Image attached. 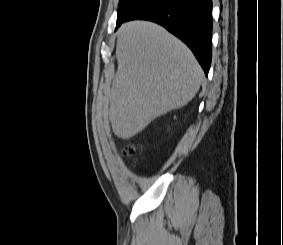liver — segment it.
I'll list each match as a JSON object with an SVG mask.
<instances>
[{"instance_id": "liver-1", "label": "liver", "mask_w": 283, "mask_h": 245, "mask_svg": "<svg viewBox=\"0 0 283 245\" xmlns=\"http://www.w3.org/2000/svg\"><path fill=\"white\" fill-rule=\"evenodd\" d=\"M117 72L109 92L115 135L130 138L199 91L203 71L189 48L163 27L131 21L117 32Z\"/></svg>"}]
</instances>
